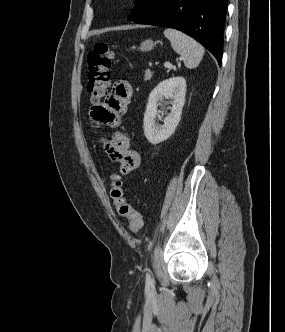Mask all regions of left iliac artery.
I'll use <instances>...</instances> for the list:
<instances>
[{"instance_id": "left-iliac-artery-1", "label": "left iliac artery", "mask_w": 285, "mask_h": 332, "mask_svg": "<svg viewBox=\"0 0 285 332\" xmlns=\"http://www.w3.org/2000/svg\"><path fill=\"white\" fill-rule=\"evenodd\" d=\"M146 281H147V283H152L151 276H150L149 272L146 273Z\"/></svg>"}]
</instances>
